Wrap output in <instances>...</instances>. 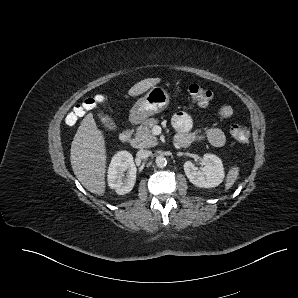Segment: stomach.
<instances>
[{
    "instance_id": "0dacf381",
    "label": "stomach",
    "mask_w": 298,
    "mask_h": 298,
    "mask_svg": "<svg viewBox=\"0 0 298 298\" xmlns=\"http://www.w3.org/2000/svg\"><path fill=\"white\" fill-rule=\"evenodd\" d=\"M169 95L162 87H152L143 97L139 98L131 109V118L142 121L145 118L164 110L169 104Z\"/></svg>"
}]
</instances>
